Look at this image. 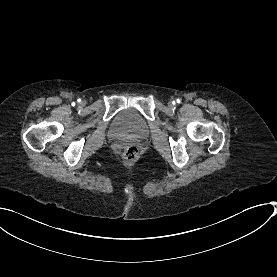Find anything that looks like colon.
<instances>
[{
  "label": "colon",
  "mask_w": 277,
  "mask_h": 277,
  "mask_svg": "<svg viewBox=\"0 0 277 277\" xmlns=\"http://www.w3.org/2000/svg\"><path fill=\"white\" fill-rule=\"evenodd\" d=\"M123 155H124L125 159H127L129 161H134V160L138 159V157L140 155V150H139L138 146H136L134 144H129V145L125 146V148L123 150Z\"/></svg>",
  "instance_id": "1"
}]
</instances>
